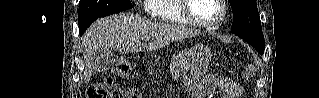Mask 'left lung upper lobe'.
<instances>
[{
  "label": "left lung upper lobe",
  "instance_id": "1",
  "mask_svg": "<svg viewBox=\"0 0 319 98\" xmlns=\"http://www.w3.org/2000/svg\"><path fill=\"white\" fill-rule=\"evenodd\" d=\"M233 12L231 30L257 50H264L265 42L256 0H229Z\"/></svg>",
  "mask_w": 319,
  "mask_h": 98
}]
</instances>
